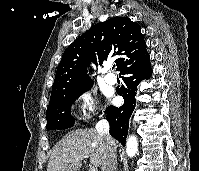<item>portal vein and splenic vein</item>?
<instances>
[{"label": "portal vein and splenic vein", "mask_w": 199, "mask_h": 171, "mask_svg": "<svg viewBox=\"0 0 199 171\" xmlns=\"http://www.w3.org/2000/svg\"><path fill=\"white\" fill-rule=\"evenodd\" d=\"M89 171H98V168L95 166V167H91Z\"/></svg>", "instance_id": "obj_1"}]
</instances>
